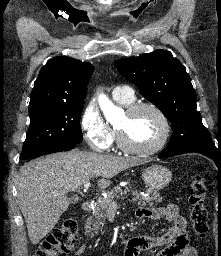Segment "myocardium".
<instances>
[{
  "instance_id": "myocardium-1",
  "label": "myocardium",
  "mask_w": 221,
  "mask_h": 256,
  "mask_svg": "<svg viewBox=\"0 0 221 256\" xmlns=\"http://www.w3.org/2000/svg\"><path fill=\"white\" fill-rule=\"evenodd\" d=\"M143 109H149L153 111L159 118L162 125L161 135L153 145L144 148L135 147L128 144V142L125 140L122 131L118 127L116 128V133L118 146L121 150L133 155L148 156L159 152L167 144L171 133V124L165 112L158 105L152 102L132 103L126 107V114L128 116H132Z\"/></svg>"
}]
</instances>
